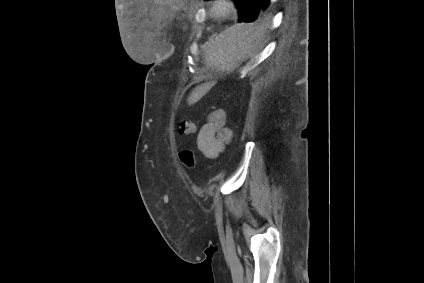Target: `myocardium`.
<instances>
[{"mask_svg":"<svg viewBox=\"0 0 424 283\" xmlns=\"http://www.w3.org/2000/svg\"><path fill=\"white\" fill-rule=\"evenodd\" d=\"M235 10L232 0H214L211 11L215 17L225 18L230 16Z\"/></svg>","mask_w":424,"mask_h":283,"instance_id":"myocardium-1","label":"myocardium"}]
</instances>
